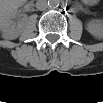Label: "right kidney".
<instances>
[{"label": "right kidney", "instance_id": "1", "mask_svg": "<svg viewBox=\"0 0 103 103\" xmlns=\"http://www.w3.org/2000/svg\"><path fill=\"white\" fill-rule=\"evenodd\" d=\"M17 9V8H16ZM16 9L2 7L0 14V31L4 39L13 40L20 34L21 21L18 24L14 21L17 16Z\"/></svg>", "mask_w": 103, "mask_h": 103}]
</instances>
